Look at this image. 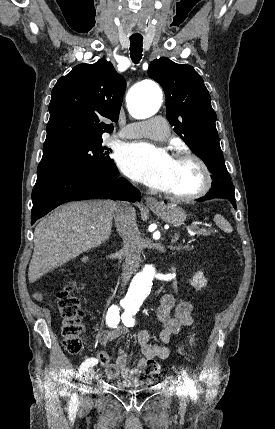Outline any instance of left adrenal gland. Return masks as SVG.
<instances>
[{
  "mask_svg": "<svg viewBox=\"0 0 275 429\" xmlns=\"http://www.w3.org/2000/svg\"><path fill=\"white\" fill-rule=\"evenodd\" d=\"M178 238H179V234H177V233H176V234L174 235V237H172L171 242H172V243H176V242H177V240H178Z\"/></svg>",
  "mask_w": 275,
  "mask_h": 429,
  "instance_id": "left-adrenal-gland-1",
  "label": "left adrenal gland"
}]
</instances>
